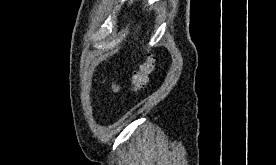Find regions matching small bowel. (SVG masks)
<instances>
[{
    "label": "small bowel",
    "mask_w": 276,
    "mask_h": 165,
    "mask_svg": "<svg viewBox=\"0 0 276 165\" xmlns=\"http://www.w3.org/2000/svg\"><path fill=\"white\" fill-rule=\"evenodd\" d=\"M113 89L114 91H119V86L115 82L113 83Z\"/></svg>",
    "instance_id": "1"
}]
</instances>
